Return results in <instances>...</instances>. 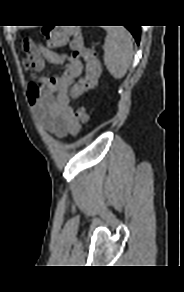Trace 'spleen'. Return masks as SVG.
<instances>
[{"label":"spleen","mask_w":184,"mask_h":292,"mask_svg":"<svg viewBox=\"0 0 184 292\" xmlns=\"http://www.w3.org/2000/svg\"><path fill=\"white\" fill-rule=\"evenodd\" d=\"M106 30L107 36L103 45L104 64L115 79H121L133 58L132 36L123 27H109Z\"/></svg>","instance_id":"3e777b00"}]
</instances>
